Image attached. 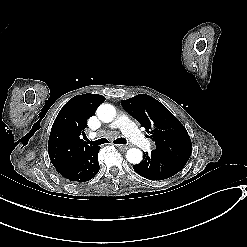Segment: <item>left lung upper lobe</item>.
<instances>
[{
	"label": "left lung upper lobe",
	"mask_w": 247,
	"mask_h": 247,
	"mask_svg": "<svg viewBox=\"0 0 247 247\" xmlns=\"http://www.w3.org/2000/svg\"><path fill=\"white\" fill-rule=\"evenodd\" d=\"M121 104L151 134L155 150L187 163L192 151L188 132L162 103L149 95L139 94L122 100Z\"/></svg>",
	"instance_id": "left-lung-upper-lobe-1"
}]
</instances>
